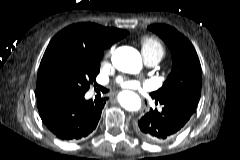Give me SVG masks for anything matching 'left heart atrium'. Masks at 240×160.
Wrapping results in <instances>:
<instances>
[{
    "instance_id": "1",
    "label": "left heart atrium",
    "mask_w": 240,
    "mask_h": 160,
    "mask_svg": "<svg viewBox=\"0 0 240 160\" xmlns=\"http://www.w3.org/2000/svg\"><path fill=\"white\" fill-rule=\"evenodd\" d=\"M118 83L123 88H131L134 86V83L132 81H127V80H122V79H119Z\"/></svg>"
}]
</instances>
